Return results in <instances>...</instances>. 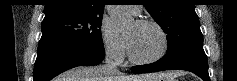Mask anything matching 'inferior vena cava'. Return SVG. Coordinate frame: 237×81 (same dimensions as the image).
<instances>
[{"label": "inferior vena cava", "instance_id": "inferior-vena-cava-1", "mask_svg": "<svg viewBox=\"0 0 237 81\" xmlns=\"http://www.w3.org/2000/svg\"><path fill=\"white\" fill-rule=\"evenodd\" d=\"M114 53L111 50H107L106 51V55H105V70L107 73L109 74H119V69L117 67L116 62L114 61Z\"/></svg>", "mask_w": 237, "mask_h": 81}]
</instances>
